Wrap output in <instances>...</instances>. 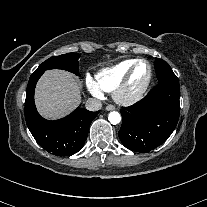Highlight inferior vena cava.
Masks as SVG:
<instances>
[{"label":"inferior vena cava","mask_w":207,"mask_h":207,"mask_svg":"<svg viewBox=\"0 0 207 207\" xmlns=\"http://www.w3.org/2000/svg\"><path fill=\"white\" fill-rule=\"evenodd\" d=\"M85 107L89 111H98L101 109L102 103L98 99L89 98L85 103Z\"/></svg>","instance_id":"602c4592"}]
</instances>
